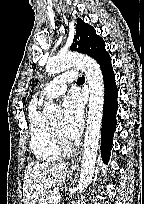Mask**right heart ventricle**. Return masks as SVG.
I'll list each match as a JSON object with an SVG mask.
<instances>
[{
    "label": "right heart ventricle",
    "mask_w": 144,
    "mask_h": 204,
    "mask_svg": "<svg viewBox=\"0 0 144 204\" xmlns=\"http://www.w3.org/2000/svg\"><path fill=\"white\" fill-rule=\"evenodd\" d=\"M42 102L35 101L29 111V145L32 154L42 162H53L61 157L49 123L41 114Z\"/></svg>",
    "instance_id": "right-heart-ventricle-1"
}]
</instances>
